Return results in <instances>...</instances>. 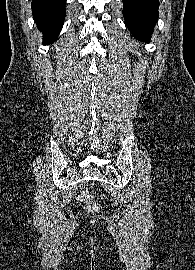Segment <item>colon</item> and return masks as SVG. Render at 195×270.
Returning a JSON list of instances; mask_svg holds the SVG:
<instances>
[{"instance_id":"5ec220e1","label":"colon","mask_w":195,"mask_h":270,"mask_svg":"<svg viewBox=\"0 0 195 270\" xmlns=\"http://www.w3.org/2000/svg\"><path fill=\"white\" fill-rule=\"evenodd\" d=\"M79 201L85 202L88 210L91 213H97L99 211V204L91 199V196L88 194H81L79 196Z\"/></svg>"}]
</instances>
